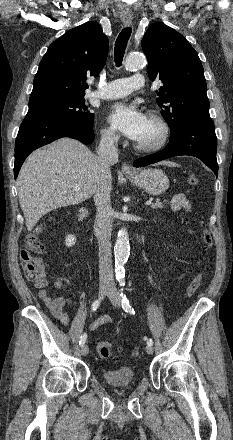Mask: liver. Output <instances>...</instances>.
<instances>
[{
	"label": "liver",
	"instance_id": "obj_1",
	"mask_svg": "<svg viewBox=\"0 0 233 440\" xmlns=\"http://www.w3.org/2000/svg\"><path fill=\"white\" fill-rule=\"evenodd\" d=\"M103 181L112 187L111 172H104L99 157L75 139H58L35 150L17 178L27 230L48 212L91 198ZM73 185L81 189L75 190Z\"/></svg>",
	"mask_w": 233,
	"mask_h": 440
}]
</instances>
